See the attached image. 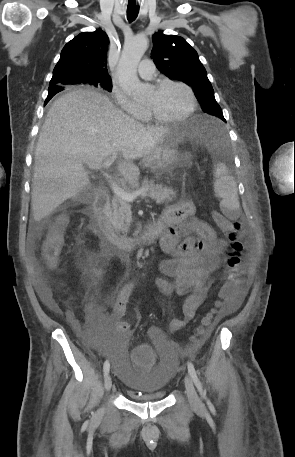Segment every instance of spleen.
Instances as JSON below:
<instances>
[{"mask_svg": "<svg viewBox=\"0 0 295 457\" xmlns=\"http://www.w3.org/2000/svg\"><path fill=\"white\" fill-rule=\"evenodd\" d=\"M214 177L215 194L222 198L220 203L221 211L227 217L233 218L240 208L236 182L229 175L228 168L223 163L216 165Z\"/></svg>", "mask_w": 295, "mask_h": 457, "instance_id": "obj_1", "label": "spleen"}]
</instances>
